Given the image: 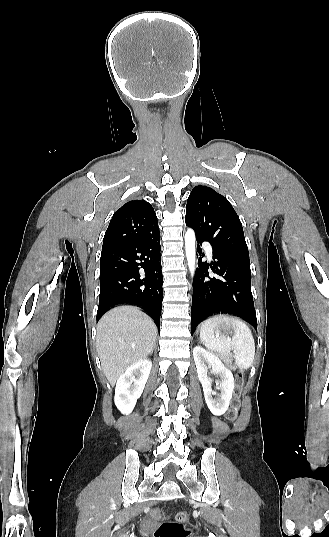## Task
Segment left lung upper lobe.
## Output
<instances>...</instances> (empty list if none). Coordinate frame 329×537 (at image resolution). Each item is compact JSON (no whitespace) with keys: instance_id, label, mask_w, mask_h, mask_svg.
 <instances>
[{"instance_id":"5c2ea615","label":"left lung upper lobe","mask_w":329,"mask_h":537,"mask_svg":"<svg viewBox=\"0 0 329 537\" xmlns=\"http://www.w3.org/2000/svg\"><path fill=\"white\" fill-rule=\"evenodd\" d=\"M186 225L214 250L250 264L242 224L229 201L207 186H196L187 200Z\"/></svg>"}]
</instances>
